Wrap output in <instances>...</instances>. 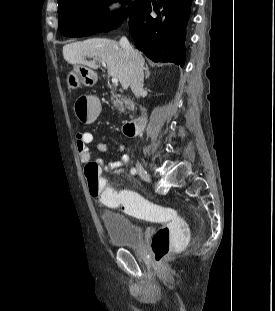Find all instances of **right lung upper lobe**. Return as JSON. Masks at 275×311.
<instances>
[{"instance_id":"cb5924a9","label":"right lung upper lobe","mask_w":275,"mask_h":311,"mask_svg":"<svg viewBox=\"0 0 275 311\" xmlns=\"http://www.w3.org/2000/svg\"><path fill=\"white\" fill-rule=\"evenodd\" d=\"M67 1H69V0H57L58 5H60V4L64 3V2H67Z\"/></svg>"}]
</instances>
